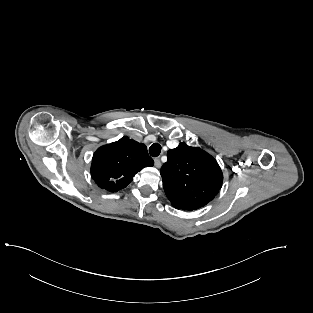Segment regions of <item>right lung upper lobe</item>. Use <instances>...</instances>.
Here are the masks:
<instances>
[{
    "label": "right lung upper lobe",
    "mask_w": 313,
    "mask_h": 313,
    "mask_svg": "<svg viewBox=\"0 0 313 313\" xmlns=\"http://www.w3.org/2000/svg\"><path fill=\"white\" fill-rule=\"evenodd\" d=\"M153 164L144 144L124 137L96 150L91 176L100 188L117 192L125 188L137 172Z\"/></svg>",
    "instance_id": "right-lung-upper-lobe-1"
}]
</instances>
